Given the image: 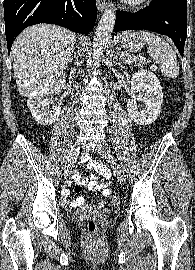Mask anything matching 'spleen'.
Masks as SVG:
<instances>
[{"label": "spleen", "mask_w": 195, "mask_h": 270, "mask_svg": "<svg viewBox=\"0 0 195 270\" xmlns=\"http://www.w3.org/2000/svg\"><path fill=\"white\" fill-rule=\"evenodd\" d=\"M140 35L148 44V53L151 58L161 64V73L169 78H177L179 75V64L172 47L152 32L141 31Z\"/></svg>", "instance_id": "3e777b00"}]
</instances>
